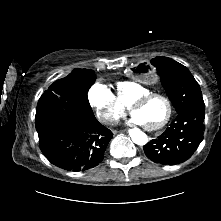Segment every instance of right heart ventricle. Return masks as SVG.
Segmentation results:
<instances>
[{
    "label": "right heart ventricle",
    "mask_w": 221,
    "mask_h": 221,
    "mask_svg": "<svg viewBox=\"0 0 221 221\" xmlns=\"http://www.w3.org/2000/svg\"><path fill=\"white\" fill-rule=\"evenodd\" d=\"M117 97L124 106H129L133 100L151 91L134 80H125L116 83Z\"/></svg>",
    "instance_id": "e07e8e85"
}]
</instances>
